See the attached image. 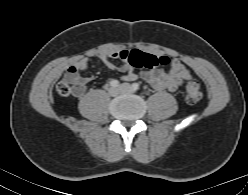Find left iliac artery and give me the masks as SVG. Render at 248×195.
Listing matches in <instances>:
<instances>
[{"label": "left iliac artery", "mask_w": 248, "mask_h": 195, "mask_svg": "<svg viewBox=\"0 0 248 195\" xmlns=\"http://www.w3.org/2000/svg\"><path fill=\"white\" fill-rule=\"evenodd\" d=\"M132 88L134 91H137L139 89V84L138 83H133Z\"/></svg>", "instance_id": "left-iliac-artery-1"}]
</instances>
